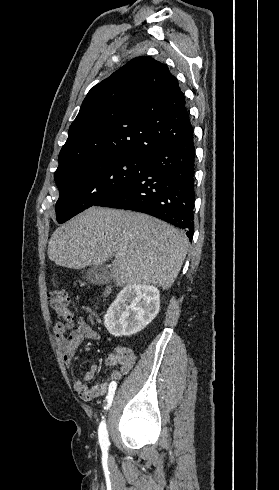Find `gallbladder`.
<instances>
[{"instance_id": "1", "label": "gallbladder", "mask_w": 279, "mask_h": 490, "mask_svg": "<svg viewBox=\"0 0 279 490\" xmlns=\"http://www.w3.org/2000/svg\"><path fill=\"white\" fill-rule=\"evenodd\" d=\"M82 274H84L88 284L103 286V284L109 282L110 268H106V266H89L88 270H85Z\"/></svg>"}]
</instances>
